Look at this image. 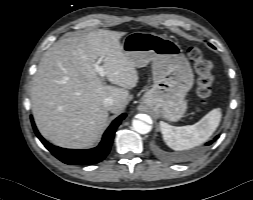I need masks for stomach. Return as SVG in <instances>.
I'll use <instances>...</instances> for the list:
<instances>
[{
    "label": "stomach",
    "mask_w": 253,
    "mask_h": 200,
    "mask_svg": "<svg viewBox=\"0 0 253 200\" xmlns=\"http://www.w3.org/2000/svg\"><path fill=\"white\" fill-rule=\"evenodd\" d=\"M122 49L135 67L152 62L153 86L143 95L142 104L156 117L168 121L181 119L194 75L179 45L154 33L133 32L124 38Z\"/></svg>",
    "instance_id": "0dacf381"
}]
</instances>
